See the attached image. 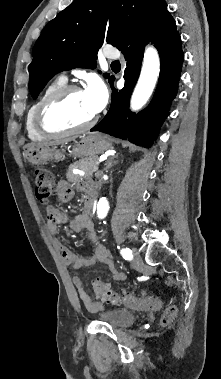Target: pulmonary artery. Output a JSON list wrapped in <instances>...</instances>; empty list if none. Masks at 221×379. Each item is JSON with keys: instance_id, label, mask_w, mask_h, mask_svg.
<instances>
[{"instance_id": "obj_1", "label": "pulmonary artery", "mask_w": 221, "mask_h": 379, "mask_svg": "<svg viewBox=\"0 0 221 379\" xmlns=\"http://www.w3.org/2000/svg\"><path fill=\"white\" fill-rule=\"evenodd\" d=\"M104 57L107 59H118L120 57V53L117 50L107 49L104 51ZM59 78L66 81L67 80L66 73L65 72L61 73Z\"/></svg>"}]
</instances>
